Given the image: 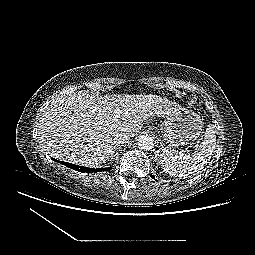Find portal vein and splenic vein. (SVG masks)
<instances>
[{
    "mask_svg": "<svg viewBox=\"0 0 255 255\" xmlns=\"http://www.w3.org/2000/svg\"><path fill=\"white\" fill-rule=\"evenodd\" d=\"M119 117H120L119 112H118V111H115V113H114V119L117 121Z\"/></svg>",
    "mask_w": 255,
    "mask_h": 255,
    "instance_id": "obj_1",
    "label": "portal vein and splenic vein"
}]
</instances>
